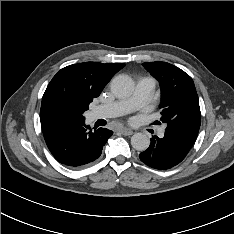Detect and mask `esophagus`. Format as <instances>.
Listing matches in <instances>:
<instances>
[{"mask_svg": "<svg viewBox=\"0 0 234 234\" xmlns=\"http://www.w3.org/2000/svg\"><path fill=\"white\" fill-rule=\"evenodd\" d=\"M119 131H120V133H122L123 135H127V136L133 134V131H132L131 129L125 128V127H124V128H121Z\"/></svg>", "mask_w": 234, "mask_h": 234, "instance_id": "esophagus-1", "label": "esophagus"}]
</instances>
